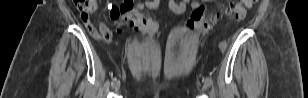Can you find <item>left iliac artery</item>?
Returning <instances> with one entry per match:
<instances>
[{
  "mask_svg": "<svg viewBox=\"0 0 308 98\" xmlns=\"http://www.w3.org/2000/svg\"><path fill=\"white\" fill-rule=\"evenodd\" d=\"M205 82L207 83L208 86H211L213 84V81H212V79L210 77H207L205 79Z\"/></svg>",
  "mask_w": 308,
  "mask_h": 98,
  "instance_id": "left-iliac-artery-1",
  "label": "left iliac artery"
}]
</instances>
